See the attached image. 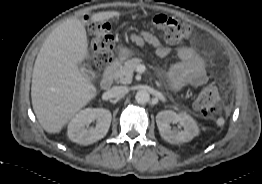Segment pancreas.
<instances>
[{"label":"pancreas","instance_id":"pancreas-1","mask_svg":"<svg viewBox=\"0 0 262 184\" xmlns=\"http://www.w3.org/2000/svg\"><path fill=\"white\" fill-rule=\"evenodd\" d=\"M141 63H142V59L140 58L128 59L127 61L124 62L123 65L113 68L112 70L113 78L122 84H130L132 82L134 70Z\"/></svg>","mask_w":262,"mask_h":184}]
</instances>
